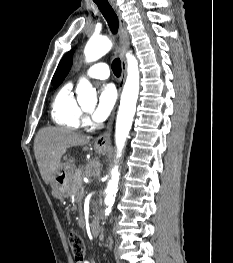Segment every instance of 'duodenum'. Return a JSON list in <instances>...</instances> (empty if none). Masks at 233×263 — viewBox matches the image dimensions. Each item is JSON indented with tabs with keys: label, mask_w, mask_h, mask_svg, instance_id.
I'll return each instance as SVG.
<instances>
[{
	"label": "duodenum",
	"mask_w": 233,
	"mask_h": 263,
	"mask_svg": "<svg viewBox=\"0 0 233 263\" xmlns=\"http://www.w3.org/2000/svg\"><path fill=\"white\" fill-rule=\"evenodd\" d=\"M90 230L94 237H96L99 234L100 226H99V220L95 217L90 222Z\"/></svg>",
	"instance_id": "obj_1"
}]
</instances>
